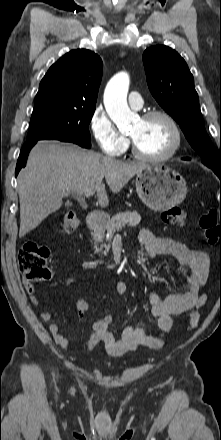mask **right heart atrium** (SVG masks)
<instances>
[{
	"instance_id": "obj_1",
	"label": "right heart atrium",
	"mask_w": 221,
	"mask_h": 440,
	"mask_svg": "<svg viewBox=\"0 0 221 440\" xmlns=\"http://www.w3.org/2000/svg\"><path fill=\"white\" fill-rule=\"evenodd\" d=\"M90 131L100 150L109 156H120L128 148L129 141L113 123L102 107H97L89 121Z\"/></svg>"
}]
</instances>
